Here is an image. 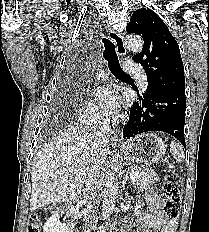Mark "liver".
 <instances>
[{"instance_id": "obj_1", "label": "liver", "mask_w": 209, "mask_h": 232, "mask_svg": "<svg viewBox=\"0 0 209 232\" xmlns=\"http://www.w3.org/2000/svg\"><path fill=\"white\" fill-rule=\"evenodd\" d=\"M107 153V140L96 142L82 127L60 133L34 160L30 210L76 198L91 164L97 160L102 166Z\"/></svg>"}]
</instances>
